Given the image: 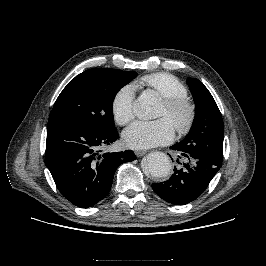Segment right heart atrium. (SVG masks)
Wrapping results in <instances>:
<instances>
[{
  "label": "right heart atrium",
  "instance_id": "d8ad5b80",
  "mask_svg": "<svg viewBox=\"0 0 266 266\" xmlns=\"http://www.w3.org/2000/svg\"><path fill=\"white\" fill-rule=\"evenodd\" d=\"M135 93L133 86H124L114 95L111 109L115 121L120 125H125L134 117Z\"/></svg>",
  "mask_w": 266,
  "mask_h": 266
}]
</instances>
